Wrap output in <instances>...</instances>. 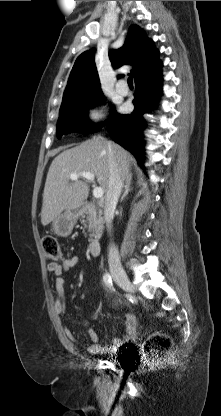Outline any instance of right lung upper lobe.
Masks as SVG:
<instances>
[{
  "label": "right lung upper lobe",
  "instance_id": "right-lung-upper-lobe-1",
  "mask_svg": "<svg viewBox=\"0 0 221 416\" xmlns=\"http://www.w3.org/2000/svg\"><path fill=\"white\" fill-rule=\"evenodd\" d=\"M109 58L114 68L124 64L133 65L131 75L135 80L151 74L162 67L159 51L137 25L129 28L124 45L111 50ZM102 93L93 50L78 56L70 73L64 92L63 102L75 101Z\"/></svg>",
  "mask_w": 221,
  "mask_h": 416
}]
</instances>
